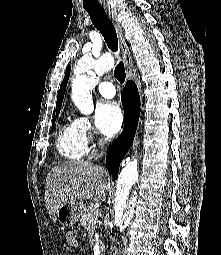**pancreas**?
Segmentation results:
<instances>
[{
    "mask_svg": "<svg viewBox=\"0 0 221 255\" xmlns=\"http://www.w3.org/2000/svg\"><path fill=\"white\" fill-rule=\"evenodd\" d=\"M100 212L95 208L93 203H90L85 209L82 214L80 224L85 229L94 231L96 224L98 223V217Z\"/></svg>",
    "mask_w": 221,
    "mask_h": 255,
    "instance_id": "1",
    "label": "pancreas"
}]
</instances>
